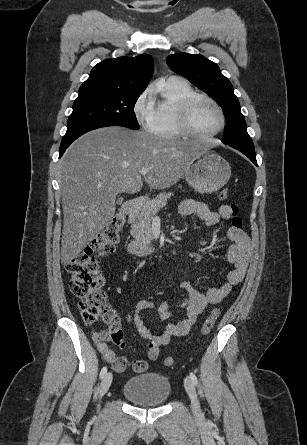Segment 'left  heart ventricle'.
<instances>
[{"mask_svg": "<svg viewBox=\"0 0 307 445\" xmlns=\"http://www.w3.org/2000/svg\"><path fill=\"white\" fill-rule=\"evenodd\" d=\"M192 115L195 125L203 133L216 131L222 125L220 111L209 102L199 101L195 105Z\"/></svg>", "mask_w": 307, "mask_h": 445, "instance_id": "b2bd125f", "label": "left heart ventricle"}]
</instances>
